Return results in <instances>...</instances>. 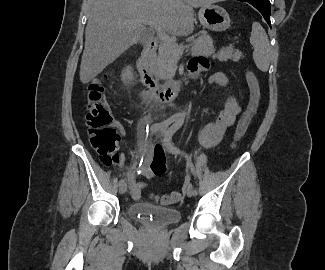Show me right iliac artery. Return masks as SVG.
Instances as JSON below:
<instances>
[{
  "instance_id": "obj_1",
  "label": "right iliac artery",
  "mask_w": 325,
  "mask_h": 270,
  "mask_svg": "<svg viewBox=\"0 0 325 270\" xmlns=\"http://www.w3.org/2000/svg\"><path fill=\"white\" fill-rule=\"evenodd\" d=\"M175 120H176V117L175 116H171V117H169L168 119H166L165 121H163L161 123H155V124H153L150 127V133L153 134V133L158 132L159 130H161L164 127H166V126L170 125L171 123H173ZM124 182H125V180L124 179H121L119 181V185L123 184Z\"/></svg>"
}]
</instances>
